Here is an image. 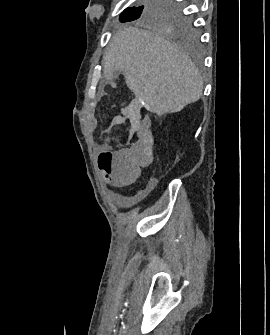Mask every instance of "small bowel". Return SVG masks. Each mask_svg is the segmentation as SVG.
<instances>
[{
  "label": "small bowel",
  "instance_id": "c3829d8e",
  "mask_svg": "<svg viewBox=\"0 0 270 335\" xmlns=\"http://www.w3.org/2000/svg\"><path fill=\"white\" fill-rule=\"evenodd\" d=\"M130 133L138 134L137 144L133 147L106 149L105 154H94L93 164L97 173H102V178H130L126 183L130 184L139 178L140 169L148 165V156H156V149L146 147L154 145V138H151V121L148 117L133 121ZM127 201L130 202L129 199Z\"/></svg>",
  "mask_w": 270,
  "mask_h": 335
}]
</instances>
